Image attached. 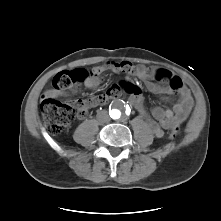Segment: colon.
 Returning <instances> with one entry per match:
<instances>
[{"instance_id":"colon-1","label":"colon","mask_w":221,"mask_h":221,"mask_svg":"<svg viewBox=\"0 0 221 221\" xmlns=\"http://www.w3.org/2000/svg\"><path fill=\"white\" fill-rule=\"evenodd\" d=\"M144 72L153 76L157 81L169 86L177 92L182 89V82L179 77L166 70H152L150 67H144ZM85 69H73L58 72L52 79L51 90L64 92L66 90H75L77 85L89 76ZM129 94L140 93V89L134 84L126 87ZM41 111L44 117L47 129L52 133H60L65 130L74 118L75 111L69 104L58 101L51 94H44L41 99ZM179 134L178 128L171 130L170 137L176 138Z\"/></svg>"}]
</instances>
